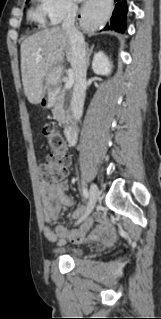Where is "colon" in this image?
<instances>
[{"mask_svg": "<svg viewBox=\"0 0 161 319\" xmlns=\"http://www.w3.org/2000/svg\"><path fill=\"white\" fill-rule=\"evenodd\" d=\"M43 134L47 137L53 154L46 158L42 164L44 179L52 184L66 174L70 166V156L63 148V137L57 133L53 126L47 125L43 128Z\"/></svg>", "mask_w": 161, "mask_h": 319, "instance_id": "obj_1", "label": "colon"}]
</instances>
